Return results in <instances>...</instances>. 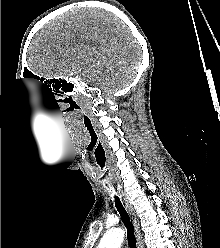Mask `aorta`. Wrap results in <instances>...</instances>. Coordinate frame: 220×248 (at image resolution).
Listing matches in <instances>:
<instances>
[{
  "mask_svg": "<svg viewBox=\"0 0 220 248\" xmlns=\"http://www.w3.org/2000/svg\"><path fill=\"white\" fill-rule=\"evenodd\" d=\"M125 232L122 228L107 231L100 241L98 248H120Z\"/></svg>",
  "mask_w": 220,
  "mask_h": 248,
  "instance_id": "762f6f07",
  "label": "aorta"
}]
</instances>
